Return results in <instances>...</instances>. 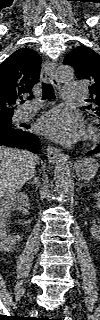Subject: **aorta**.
<instances>
[{
    "label": "aorta",
    "instance_id": "obj_1",
    "mask_svg": "<svg viewBox=\"0 0 100 320\" xmlns=\"http://www.w3.org/2000/svg\"><path fill=\"white\" fill-rule=\"evenodd\" d=\"M56 77L61 82L71 81L74 77V70L71 66L61 65L57 68ZM54 180L58 193L69 195L71 192L72 180L68 156H61L55 165Z\"/></svg>",
    "mask_w": 100,
    "mask_h": 320
}]
</instances>
